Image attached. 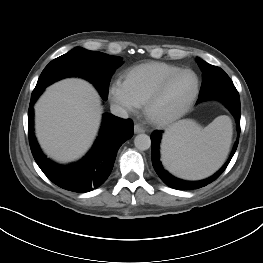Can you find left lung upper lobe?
Masks as SVG:
<instances>
[{
  "instance_id": "obj_1",
  "label": "left lung upper lobe",
  "mask_w": 263,
  "mask_h": 263,
  "mask_svg": "<svg viewBox=\"0 0 263 263\" xmlns=\"http://www.w3.org/2000/svg\"><path fill=\"white\" fill-rule=\"evenodd\" d=\"M196 61L199 64L200 68L202 66L210 65L199 58H197ZM221 88H235V86L233 82L231 81V79L229 78V76L221 68L217 67V71L214 77L210 78L208 82L204 81L203 79V84L201 87L200 95L203 94L207 90L221 89Z\"/></svg>"
}]
</instances>
